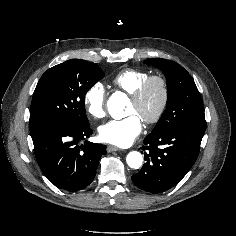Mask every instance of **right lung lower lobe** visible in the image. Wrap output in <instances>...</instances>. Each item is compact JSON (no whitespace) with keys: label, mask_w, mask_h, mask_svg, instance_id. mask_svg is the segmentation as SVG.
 Returning a JSON list of instances; mask_svg holds the SVG:
<instances>
[{"label":"right lung lower lobe","mask_w":236,"mask_h":236,"mask_svg":"<svg viewBox=\"0 0 236 236\" xmlns=\"http://www.w3.org/2000/svg\"><path fill=\"white\" fill-rule=\"evenodd\" d=\"M30 133L36 160L44 175L56 187L75 192L94 179L98 163L106 154V146L78 142L90 137L89 122L61 123L52 120L30 122Z\"/></svg>","instance_id":"obj_1"}]
</instances>
